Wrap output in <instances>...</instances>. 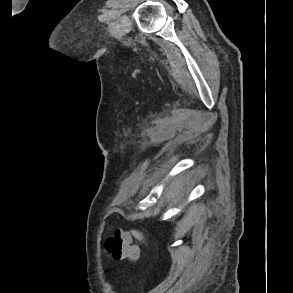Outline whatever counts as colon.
I'll list each match as a JSON object with an SVG mask.
<instances>
[{"instance_id":"colon-1","label":"colon","mask_w":293,"mask_h":293,"mask_svg":"<svg viewBox=\"0 0 293 293\" xmlns=\"http://www.w3.org/2000/svg\"><path fill=\"white\" fill-rule=\"evenodd\" d=\"M105 247L116 259L136 260L139 258L140 249L130 241L126 232L116 230L105 240Z\"/></svg>"}]
</instances>
